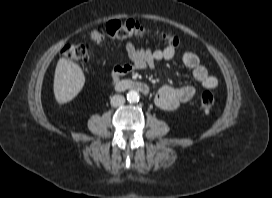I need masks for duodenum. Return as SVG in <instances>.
<instances>
[{
    "mask_svg": "<svg viewBox=\"0 0 272 198\" xmlns=\"http://www.w3.org/2000/svg\"><path fill=\"white\" fill-rule=\"evenodd\" d=\"M115 89L117 91H125L129 89H133L139 91L145 95L149 93V87L145 82L137 81V80H123L118 82L115 85Z\"/></svg>",
    "mask_w": 272,
    "mask_h": 198,
    "instance_id": "duodenum-1",
    "label": "duodenum"
}]
</instances>
